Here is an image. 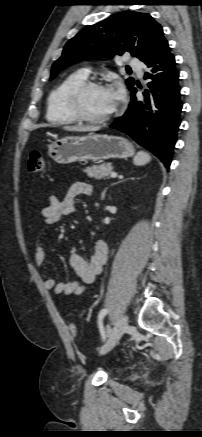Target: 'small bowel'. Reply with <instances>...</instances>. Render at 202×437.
Listing matches in <instances>:
<instances>
[{"label":"small bowel","mask_w":202,"mask_h":437,"mask_svg":"<svg viewBox=\"0 0 202 437\" xmlns=\"http://www.w3.org/2000/svg\"><path fill=\"white\" fill-rule=\"evenodd\" d=\"M92 185L86 182H76L71 185L63 199L55 195L49 197L47 206L40 210V216L45 226L52 225L60 220L64 215H72L77 212L76 199L79 196H90L92 194ZM43 229H39L34 241L35 264L37 268L44 265L46 255L41 244V235ZM108 247L102 240H97L93 244L92 254L89 260H86L75 248L71 250L69 263L79 280L69 282H57L52 276H46L44 287L47 290H54L56 294L80 295L85 291L87 285L93 283L96 277L102 272L107 261Z\"/></svg>","instance_id":"c3829d8e"}]
</instances>
